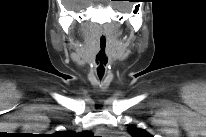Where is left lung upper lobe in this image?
Returning a JSON list of instances; mask_svg holds the SVG:
<instances>
[{
    "mask_svg": "<svg viewBox=\"0 0 206 137\" xmlns=\"http://www.w3.org/2000/svg\"><path fill=\"white\" fill-rule=\"evenodd\" d=\"M128 132L132 137H151L148 132L135 126L129 127Z\"/></svg>",
    "mask_w": 206,
    "mask_h": 137,
    "instance_id": "5c2ea615",
    "label": "left lung upper lobe"
}]
</instances>
